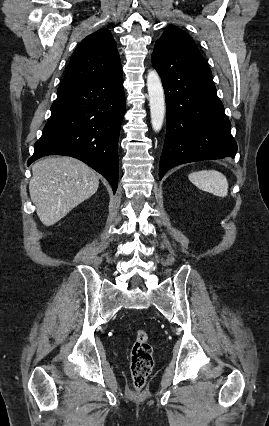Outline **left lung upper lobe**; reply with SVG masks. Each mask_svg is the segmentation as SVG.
<instances>
[{"instance_id": "5c2ea615", "label": "left lung upper lobe", "mask_w": 269, "mask_h": 426, "mask_svg": "<svg viewBox=\"0 0 269 426\" xmlns=\"http://www.w3.org/2000/svg\"><path fill=\"white\" fill-rule=\"evenodd\" d=\"M156 43L200 53L193 39L185 31L175 26L167 27Z\"/></svg>"}]
</instances>
